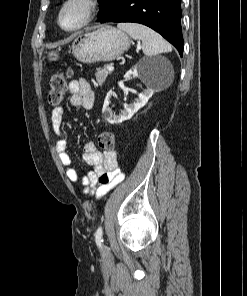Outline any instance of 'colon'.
<instances>
[{
    "label": "colon",
    "mask_w": 247,
    "mask_h": 296,
    "mask_svg": "<svg viewBox=\"0 0 247 296\" xmlns=\"http://www.w3.org/2000/svg\"><path fill=\"white\" fill-rule=\"evenodd\" d=\"M71 77L69 70L62 71L54 74L49 82L47 100L50 105L57 106L62 103L65 98L67 83ZM98 146L101 150L112 152L115 148V135L110 130L103 131L98 138ZM109 180L108 175L100 178L101 183H107Z\"/></svg>",
    "instance_id": "colon-1"
}]
</instances>
